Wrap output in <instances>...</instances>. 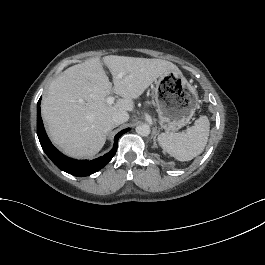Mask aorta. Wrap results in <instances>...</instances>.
Listing matches in <instances>:
<instances>
[{
    "label": "aorta",
    "instance_id": "aorta-1",
    "mask_svg": "<svg viewBox=\"0 0 265 265\" xmlns=\"http://www.w3.org/2000/svg\"><path fill=\"white\" fill-rule=\"evenodd\" d=\"M136 132L141 136H148L150 134V127L146 124L136 127Z\"/></svg>",
    "mask_w": 265,
    "mask_h": 265
}]
</instances>
